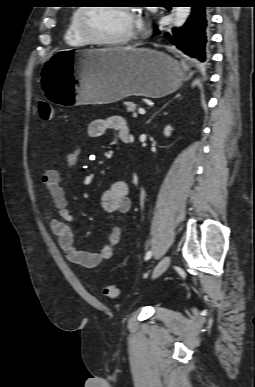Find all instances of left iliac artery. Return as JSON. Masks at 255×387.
I'll list each match as a JSON object with an SVG mask.
<instances>
[{"label": "left iliac artery", "mask_w": 255, "mask_h": 387, "mask_svg": "<svg viewBox=\"0 0 255 387\" xmlns=\"http://www.w3.org/2000/svg\"><path fill=\"white\" fill-rule=\"evenodd\" d=\"M151 256H152V251H148V252L146 253V255H145V260L150 259Z\"/></svg>", "instance_id": "left-iliac-artery-1"}]
</instances>
